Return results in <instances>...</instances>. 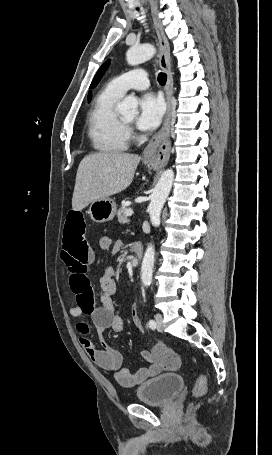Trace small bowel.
Returning a JSON list of instances; mask_svg holds the SVG:
<instances>
[{
	"mask_svg": "<svg viewBox=\"0 0 272 455\" xmlns=\"http://www.w3.org/2000/svg\"><path fill=\"white\" fill-rule=\"evenodd\" d=\"M85 231L86 222L82 214L69 213L64 226L61 255L69 272L70 288L76 301V305L70 309V315L77 320L76 328L80 334L79 340L90 359L102 369L112 373L120 385L135 386L157 375L161 371V366L152 363L149 366L140 367L135 372L122 368V355L105 342L102 343L101 349L97 348L88 336L87 323L81 320L83 316H90L93 325L100 333L108 329L115 333L124 330L123 318L115 313L113 296L117 287L113 266L107 267L100 278V305L95 306L88 276V267L94 261L95 254L85 238ZM122 248L123 242L116 241L111 248V253L118 254ZM132 317L135 325L141 328L142 323L138 316L136 303L132 306ZM141 356L146 360L151 358L147 350H143Z\"/></svg>",
	"mask_w": 272,
	"mask_h": 455,
	"instance_id": "1",
	"label": "small bowel"
}]
</instances>
